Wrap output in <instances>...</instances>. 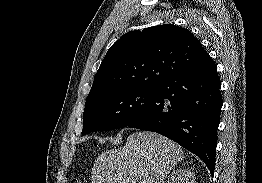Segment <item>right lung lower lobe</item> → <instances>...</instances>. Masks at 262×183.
Masks as SVG:
<instances>
[{"mask_svg":"<svg viewBox=\"0 0 262 183\" xmlns=\"http://www.w3.org/2000/svg\"><path fill=\"white\" fill-rule=\"evenodd\" d=\"M217 66L177 75L156 88L151 104L126 127L154 131L196 154L214 174L222 99Z\"/></svg>","mask_w":262,"mask_h":183,"instance_id":"right-lung-lower-lobe-1","label":"right lung lower lobe"}]
</instances>
